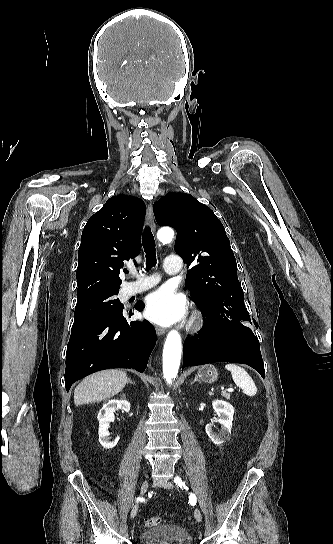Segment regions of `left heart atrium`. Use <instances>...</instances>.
Here are the masks:
<instances>
[{"label":"left heart atrium","instance_id":"left-heart-atrium-1","mask_svg":"<svg viewBox=\"0 0 333 544\" xmlns=\"http://www.w3.org/2000/svg\"><path fill=\"white\" fill-rule=\"evenodd\" d=\"M186 310L184 297L169 288H160L146 298L145 316L160 325L179 321Z\"/></svg>","mask_w":333,"mask_h":544}]
</instances>
